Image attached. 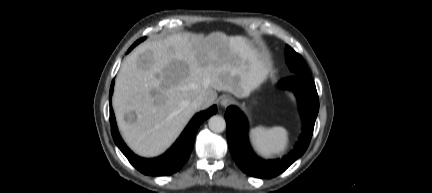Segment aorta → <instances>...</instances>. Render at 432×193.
<instances>
[{"label": "aorta", "mask_w": 432, "mask_h": 193, "mask_svg": "<svg viewBox=\"0 0 432 193\" xmlns=\"http://www.w3.org/2000/svg\"><path fill=\"white\" fill-rule=\"evenodd\" d=\"M208 126L215 133L223 132L226 129V121L222 116L214 115L210 117Z\"/></svg>", "instance_id": "obj_1"}]
</instances>
